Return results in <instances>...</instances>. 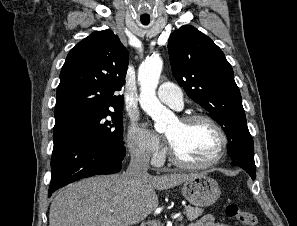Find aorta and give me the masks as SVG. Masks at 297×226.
Returning a JSON list of instances; mask_svg holds the SVG:
<instances>
[{
    "mask_svg": "<svg viewBox=\"0 0 297 226\" xmlns=\"http://www.w3.org/2000/svg\"><path fill=\"white\" fill-rule=\"evenodd\" d=\"M163 62L160 57H149L140 66L138 81L140 82L139 102L142 109L155 121L157 131H164L169 118L168 110L156 97V88L162 71Z\"/></svg>",
    "mask_w": 297,
    "mask_h": 226,
    "instance_id": "762f6f07",
    "label": "aorta"
}]
</instances>
